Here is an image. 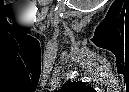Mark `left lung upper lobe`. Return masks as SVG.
<instances>
[{
  "label": "left lung upper lobe",
  "mask_w": 129,
  "mask_h": 92,
  "mask_svg": "<svg viewBox=\"0 0 129 92\" xmlns=\"http://www.w3.org/2000/svg\"><path fill=\"white\" fill-rule=\"evenodd\" d=\"M59 92H94V89L83 82H70L65 84Z\"/></svg>",
  "instance_id": "5c2ea615"
}]
</instances>
